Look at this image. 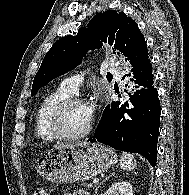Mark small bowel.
I'll list each match as a JSON object with an SVG mask.
<instances>
[{"instance_id":"c3829d8e","label":"small bowel","mask_w":189,"mask_h":195,"mask_svg":"<svg viewBox=\"0 0 189 195\" xmlns=\"http://www.w3.org/2000/svg\"><path fill=\"white\" fill-rule=\"evenodd\" d=\"M63 195H89V193L87 191H84V190H77L75 192H66V193H63Z\"/></svg>"}]
</instances>
